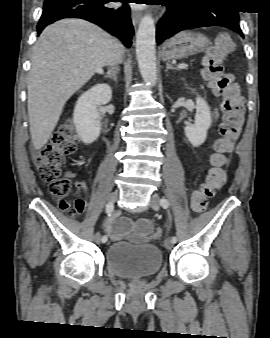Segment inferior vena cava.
Instances as JSON below:
<instances>
[{
  "label": "inferior vena cava",
  "instance_id": "1",
  "mask_svg": "<svg viewBox=\"0 0 270 338\" xmlns=\"http://www.w3.org/2000/svg\"><path fill=\"white\" fill-rule=\"evenodd\" d=\"M122 55H123V51L114 53L109 60V65L113 66V65L120 63L122 60Z\"/></svg>",
  "mask_w": 270,
  "mask_h": 338
}]
</instances>
